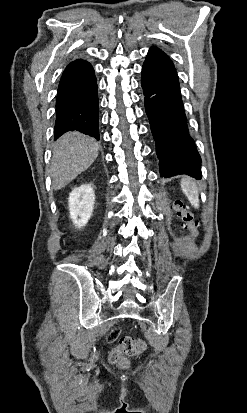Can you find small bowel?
I'll return each mask as SVG.
<instances>
[{
  "mask_svg": "<svg viewBox=\"0 0 247 413\" xmlns=\"http://www.w3.org/2000/svg\"><path fill=\"white\" fill-rule=\"evenodd\" d=\"M118 328H119V329H122V328H123V325H122V324H119V325H118ZM118 335H119V332H118L117 329H109L108 332H107V335L105 336V341H106V342H111V341H112V338H117Z\"/></svg>",
  "mask_w": 247,
  "mask_h": 413,
  "instance_id": "small-bowel-1",
  "label": "small bowel"
}]
</instances>
